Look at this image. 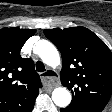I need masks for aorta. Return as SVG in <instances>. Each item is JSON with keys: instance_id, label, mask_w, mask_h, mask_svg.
I'll use <instances>...</instances> for the list:
<instances>
[{"instance_id": "aorta-1", "label": "aorta", "mask_w": 112, "mask_h": 112, "mask_svg": "<svg viewBox=\"0 0 112 112\" xmlns=\"http://www.w3.org/2000/svg\"><path fill=\"white\" fill-rule=\"evenodd\" d=\"M37 54L50 67L60 65V56L56 47L49 41L42 40L37 44ZM72 99L71 93L65 87H57L52 92V100L59 107H66Z\"/></svg>"}]
</instances>
